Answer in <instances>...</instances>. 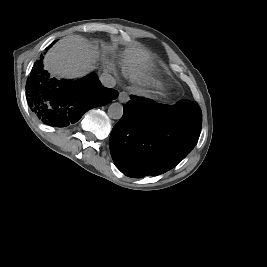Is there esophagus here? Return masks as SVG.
Wrapping results in <instances>:
<instances>
[{"instance_id": "esophagus-1", "label": "esophagus", "mask_w": 267, "mask_h": 267, "mask_svg": "<svg viewBox=\"0 0 267 267\" xmlns=\"http://www.w3.org/2000/svg\"><path fill=\"white\" fill-rule=\"evenodd\" d=\"M118 100L121 102V103H126L127 101H129V95L127 92H120L119 93V97H118Z\"/></svg>"}]
</instances>
